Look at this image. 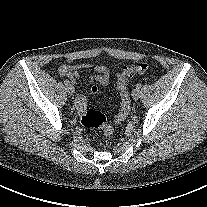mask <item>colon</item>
Returning a JSON list of instances; mask_svg holds the SVG:
<instances>
[{
	"label": "colon",
	"mask_w": 207,
	"mask_h": 207,
	"mask_svg": "<svg viewBox=\"0 0 207 207\" xmlns=\"http://www.w3.org/2000/svg\"><path fill=\"white\" fill-rule=\"evenodd\" d=\"M149 69V65L145 62H138L130 66H125L117 77V88L120 93L121 107L118 114L115 116V121L120 123L124 121L130 111V97L127 88L128 79L143 74ZM98 88L92 86L90 93H96ZM75 108L80 115L81 124L86 128L100 129L105 136L113 133V128L107 123L103 113L97 110L88 109L87 95L80 94L75 99Z\"/></svg>",
	"instance_id": "colon-1"
}]
</instances>
